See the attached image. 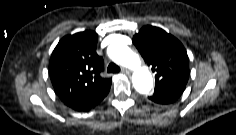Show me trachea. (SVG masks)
<instances>
[{
    "mask_svg": "<svg viewBox=\"0 0 236 135\" xmlns=\"http://www.w3.org/2000/svg\"><path fill=\"white\" fill-rule=\"evenodd\" d=\"M120 70V67L114 63H110L107 68L108 73H118Z\"/></svg>",
    "mask_w": 236,
    "mask_h": 135,
    "instance_id": "1",
    "label": "trachea"
}]
</instances>
